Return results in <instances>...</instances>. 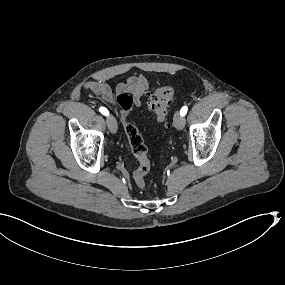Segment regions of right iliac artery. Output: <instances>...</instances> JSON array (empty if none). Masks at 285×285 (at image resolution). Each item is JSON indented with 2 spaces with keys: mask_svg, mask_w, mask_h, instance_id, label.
Masks as SVG:
<instances>
[{
  "mask_svg": "<svg viewBox=\"0 0 285 285\" xmlns=\"http://www.w3.org/2000/svg\"><path fill=\"white\" fill-rule=\"evenodd\" d=\"M99 111L105 116L109 114V111L105 107H100Z\"/></svg>",
  "mask_w": 285,
  "mask_h": 285,
  "instance_id": "right-iliac-artery-1",
  "label": "right iliac artery"
}]
</instances>
